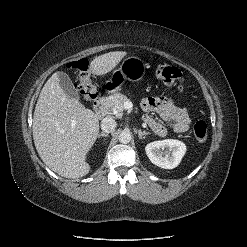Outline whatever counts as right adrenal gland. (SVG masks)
Returning a JSON list of instances; mask_svg holds the SVG:
<instances>
[{
	"instance_id": "2a0ac1e0",
	"label": "right adrenal gland",
	"mask_w": 247,
	"mask_h": 247,
	"mask_svg": "<svg viewBox=\"0 0 247 247\" xmlns=\"http://www.w3.org/2000/svg\"><path fill=\"white\" fill-rule=\"evenodd\" d=\"M108 136H109L108 134L102 132V133H100V134L98 135V138H100V137H108Z\"/></svg>"
}]
</instances>
